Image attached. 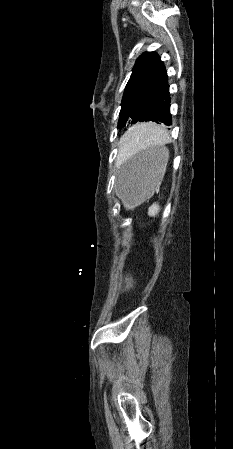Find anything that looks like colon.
Listing matches in <instances>:
<instances>
[{
  "mask_svg": "<svg viewBox=\"0 0 233 449\" xmlns=\"http://www.w3.org/2000/svg\"><path fill=\"white\" fill-rule=\"evenodd\" d=\"M126 284H127V287H128L129 289H132L133 285H132V281H131V278H130V277H128V278L126 279Z\"/></svg>",
  "mask_w": 233,
  "mask_h": 449,
  "instance_id": "5ec220e1",
  "label": "colon"
}]
</instances>
